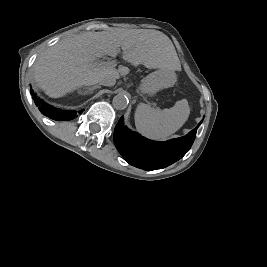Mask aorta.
I'll return each mask as SVG.
<instances>
[{
    "label": "aorta",
    "mask_w": 267,
    "mask_h": 267,
    "mask_svg": "<svg viewBox=\"0 0 267 267\" xmlns=\"http://www.w3.org/2000/svg\"><path fill=\"white\" fill-rule=\"evenodd\" d=\"M128 103H129L128 97L123 93L117 94L116 96H114L112 100L113 107L117 110L126 109Z\"/></svg>",
    "instance_id": "obj_1"
}]
</instances>
